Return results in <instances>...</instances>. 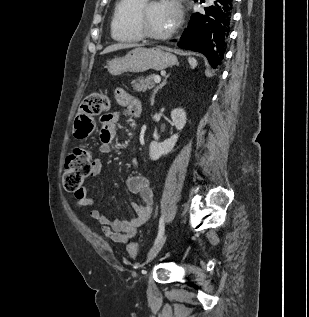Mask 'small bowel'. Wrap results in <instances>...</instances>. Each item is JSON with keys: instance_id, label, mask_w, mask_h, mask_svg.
<instances>
[{"instance_id": "1", "label": "small bowel", "mask_w": 309, "mask_h": 317, "mask_svg": "<svg viewBox=\"0 0 309 317\" xmlns=\"http://www.w3.org/2000/svg\"><path fill=\"white\" fill-rule=\"evenodd\" d=\"M115 98L120 105L127 107L129 113L135 117L141 114V104L122 89L115 90ZM120 120L118 112L108 113L101 118L100 146L98 157L93 161L91 175L95 176L101 172V157L109 154L113 150L116 137V129ZM136 165V161H133ZM127 187L130 192L137 194L139 202L132 204L135 216L129 220H111L107 218L99 209L91 210V218L101 225L103 235L114 243H127L132 239L137 229L149 218L153 207V191L147 179L140 175L131 176L127 180ZM77 205L80 208L92 207L95 199L89 194L86 188H81L74 193Z\"/></svg>"}]
</instances>
